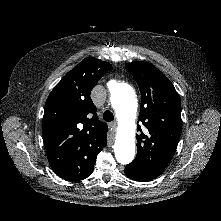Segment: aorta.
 <instances>
[{
    "label": "aorta",
    "instance_id": "762f6f07",
    "mask_svg": "<svg viewBox=\"0 0 221 221\" xmlns=\"http://www.w3.org/2000/svg\"><path fill=\"white\" fill-rule=\"evenodd\" d=\"M111 104L119 119V128L114 144L115 157L119 163L128 164L135 156L134 120L137 100L134 89L127 83H118L111 92Z\"/></svg>",
    "mask_w": 221,
    "mask_h": 221
}]
</instances>
